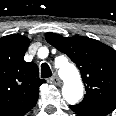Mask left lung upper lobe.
Returning <instances> with one entry per match:
<instances>
[{
  "instance_id": "1",
  "label": "left lung upper lobe",
  "mask_w": 116,
  "mask_h": 116,
  "mask_svg": "<svg viewBox=\"0 0 116 116\" xmlns=\"http://www.w3.org/2000/svg\"><path fill=\"white\" fill-rule=\"evenodd\" d=\"M49 44L77 65L86 94L78 106L116 109V51L88 37L46 33Z\"/></svg>"
}]
</instances>
